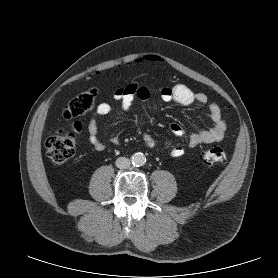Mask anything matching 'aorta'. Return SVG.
I'll return each instance as SVG.
<instances>
[{
    "label": "aorta",
    "mask_w": 278,
    "mask_h": 278,
    "mask_svg": "<svg viewBox=\"0 0 278 278\" xmlns=\"http://www.w3.org/2000/svg\"><path fill=\"white\" fill-rule=\"evenodd\" d=\"M131 163L136 167L143 166L146 163V157L141 152L134 153L131 156Z\"/></svg>",
    "instance_id": "obj_1"
}]
</instances>
